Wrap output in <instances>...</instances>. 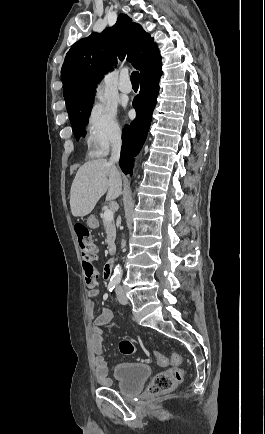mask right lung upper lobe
Returning a JSON list of instances; mask_svg holds the SVG:
<instances>
[{
    "label": "right lung upper lobe",
    "instance_id": "obj_1",
    "mask_svg": "<svg viewBox=\"0 0 265 434\" xmlns=\"http://www.w3.org/2000/svg\"><path fill=\"white\" fill-rule=\"evenodd\" d=\"M159 55L153 38L126 14H120L116 24L101 34L76 42L68 51L61 70L66 103L91 94L109 66L117 59L131 62L141 69L143 62Z\"/></svg>",
    "mask_w": 265,
    "mask_h": 434
}]
</instances>
